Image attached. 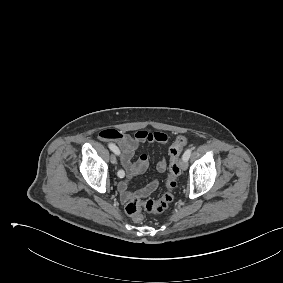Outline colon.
<instances>
[{"instance_id": "colon-1", "label": "colon", "mask_w": 283, "mask_h": 283, "mask_svg": "<svg viewBox=\"0 0 283 283\" xmlns=\"http://www.w3.org/2000/svg\"><path fill=\"white\" fill-rule=\"evenodd\" d=\"M186 144L187 139L180 135L169 148L170 165L165 181L166 192L159 199L142 200L139 197H133L126 203L125 211L135 221L142 220V209L150 213H160L166 210L173 201V191L180 174L179 156Z\"/></svg>"}]
</instances>
